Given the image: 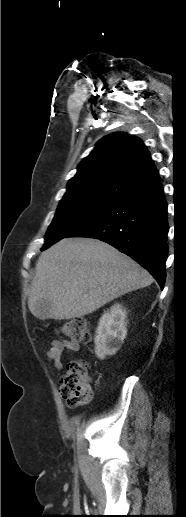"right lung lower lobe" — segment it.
Instances as JSON below:
<instances>
[{"mask_svg": "<svg viewBox=\"0 0 186 517\" xmlns=\"http://www.w3.org/2000/svg\"><path fill=\"white\" fill-rule=\"evenodd\" d=\"M168 230L167 204L159 181L121 197L66 237L96 238L112 245L143 266L163 289Z\"/></svg>", "mask_w": 186, "mask_h": 517, "instance_id": "right-lung-lower-lobe-1", "label": "right lung lower lobe"}]
</instances>
